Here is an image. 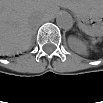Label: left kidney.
<instances>
[{"label": "left kidney", "mask_w": 103, "mask_h": 103, "mask_svg": "<svg viewBox=\"0 0 103 103\" xmlns=\"http://www.w3.org/2000/svg\"><path fill=\"white\" fill-rule=\"evenodd\" d=\"M68 43H69V46L76 52L78 53H82L85 51L86 47L84 45V43L76 38V37H69L68 38Z\"/></svg>", "instance_id": "left-kidney-1"}]
</instances>
